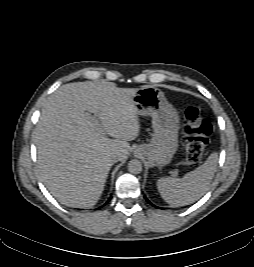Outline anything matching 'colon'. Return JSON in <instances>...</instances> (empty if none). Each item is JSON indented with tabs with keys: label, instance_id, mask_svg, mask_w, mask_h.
<instances>
[{
	"label": "colon",
	"instance_id": "5ec220e1",
	"mask_svg": "<svg viewBox=\"0 0 254 267\" xmlns=\"http://www.w3.org/2000/svg\"><path fill=\"white\" fill-rule=\"evenodd\" d=\"M183 132L187 159L197 163L204 156L212 126L198 108L188 107L184 112Z\"/></svg>",
	"mask_w": 254,
	"mask_h": 267
}]
</instances>
